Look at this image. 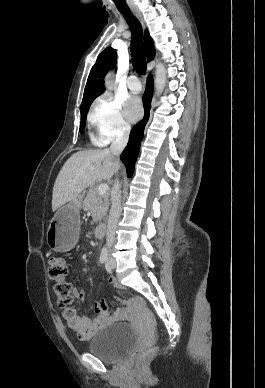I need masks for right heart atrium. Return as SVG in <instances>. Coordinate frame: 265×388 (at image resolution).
Returning a JSON list of instances; mask_svg holds the SVG:
<instances>
[{
	"label": "right heart atrium",
	"mask_w": 265,
	"mask_h": 388,
	"mask_svg": "<svg viewBox=\"0 0 265 388\" xmlns=\"http://www.w3.org/2000/svg\"><path fill=\"white\" fill-rule=\"evenodd\" d=\"M91 118L102 141H109L116 135H125L130 129L124 118L122 102L110 94H104L94 102Z\"/></svg>",
	"instance_id": "d8ad5b80"
}]
</instances>
